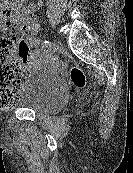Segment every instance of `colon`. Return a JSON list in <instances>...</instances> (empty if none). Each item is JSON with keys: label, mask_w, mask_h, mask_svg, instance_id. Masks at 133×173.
Instances as JSON below:
<instances>
[{"label": "colon", "mask_w": 133, "mask_h": 173, "mask_svg": "<svg viewBox=\"0 0 133 173\" xmlns=\"http://www.w3.org/2000/svg\"><path fill=\"white\" fill-rule=\"evenodd\" d=\"M30 28L29 21L16 19L8 9L0 13V107L13 104L22 88L26 77L24 61L29 53L25 36ZM70 77L77 87L85 85L81 69L73 68Z\"/></svg>", "instance_id": "colon-1"}]
</instances>
